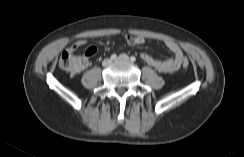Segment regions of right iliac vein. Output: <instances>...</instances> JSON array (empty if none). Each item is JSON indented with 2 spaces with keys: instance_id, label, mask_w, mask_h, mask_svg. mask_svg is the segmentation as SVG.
Returning a JSON list of instances; mask_svg holds the SVG:
<instances>
[{
  "instance_id": "obj_1",
  "label": "right iliac vein",
  "mask_w": 244,
  "mask_h": 157,
  "mask_svg": "<svg viewBox=\"0 0 244 157\" xmlns=\"http://www.w3.org/2000/svg\"><path fill=\"white\" fill-rule=\"evenodd\" d=\"M111 62H112L111 59H105V60H103L102 65H103L104 67H106V66H108Z\"/></svg>"
}]
</instances>
